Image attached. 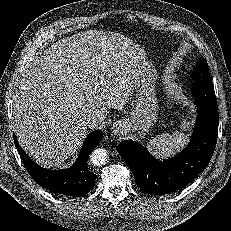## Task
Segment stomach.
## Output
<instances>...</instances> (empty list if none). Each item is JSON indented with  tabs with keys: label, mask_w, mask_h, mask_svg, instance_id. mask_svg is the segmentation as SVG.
Here are the masks:
<instances>
[{
	"label": "stomach",
	"mask_w": 231,
	"mask_h": 231,
	"mask_svg": "<svg viewBox=\"0 0 231 231\" xmlns=\"http://www.w3.org/2000/svg\"><path fill=\"white\" fill-rule=\"evenodd\" d=\"M158 73L151 62L139 61L134 67L132 79L133 107L129 117L117 123L125 132L143 138L149 134L158 119L156 93Z\"/></svg>",
	"instance_id": "1"
}]
</instances>
